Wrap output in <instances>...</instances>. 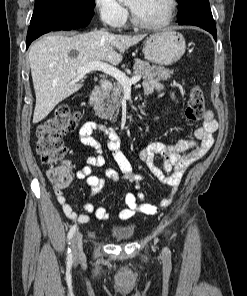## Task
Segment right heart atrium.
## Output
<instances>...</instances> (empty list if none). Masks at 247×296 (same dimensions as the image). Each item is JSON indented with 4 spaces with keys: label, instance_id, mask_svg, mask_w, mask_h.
Listing matches in <instances>:
<instances>
[{
    "label": "right heart atrium",
    "instance_id": "1",
    "mask_svg": "<svg viewBox=\"0 0 247 296\" xmlns=\"http://www.w3.org/2000/svg\"><path fill=\"white\" fill-rule=\"evenodd\" d=\"M94 8L100 20L113 28L122 26L128 16L127 9L118 0H94Z\"/></svg>",
    "mask_w": 247,
    "mask_h": 296
}]
</instances>
